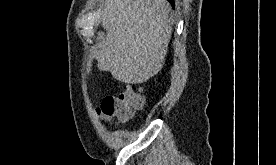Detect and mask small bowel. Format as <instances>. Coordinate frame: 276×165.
I'll use <instances>...</instances> for the list:
<instances>
[{"instance_id":"obj_1","label":"small bowel","mask_w":276,"mask_h":165,"mask_svg":"<svg viewBox=\"0 0 276 165\" xmlns=\"http://www.w3.org/2000/svg\"><path fill=\"white\" fill-rule=\"evenodd\" d=\"M97 113H98L99 115H101L104 119H108L107 117H105V116L102 115L100 108L97 110Z\"/></svg>"}]
</instances>
